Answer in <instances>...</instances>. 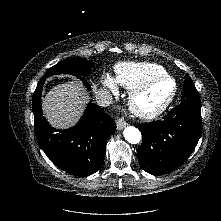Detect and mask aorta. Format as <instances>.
Listing matches in <instances>:
<instances>
[{
	"label": "aorta",
	"instance_id": "762f6f07",
	"mask_svg": "<svg viewBox=\"0 0 221 221\" xmlns=\"http://www.w3.org/2000/svg\"><path fill=\"white\" fill-rule=\"evenodd\" d=\"M124 138L131 144H137L141 141L140 131L133 126H127L123 131Z\"/></svg>",
	"mask_w": 221,
	"mask_h": 221
}]
</instances>
